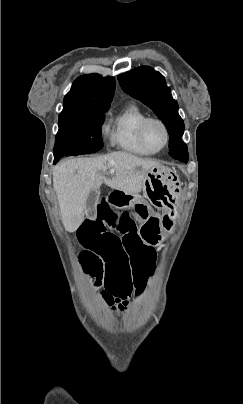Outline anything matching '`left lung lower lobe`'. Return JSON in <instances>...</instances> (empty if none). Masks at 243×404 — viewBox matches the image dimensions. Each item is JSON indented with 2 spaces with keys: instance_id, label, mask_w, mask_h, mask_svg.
Returning <instances> with one entry per match:
<instances>
[{
  "instance_id": "obj_1",
  "label": "left lung lower lobe",
  "mask_w": 243,
  "mask_h": 404,
  "mask_svg": "<svg viewBox=\"0 0 243 404\" xmlns=\"http://www.w3.org/2000/svg\"><path fill=\"white\" fill-rule=\"evenodd\" d=\"M180 161L187 163V162H188V159H183V160H180Z\"/></svg>"
}]
</instances>
